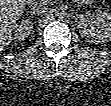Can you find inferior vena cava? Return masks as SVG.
I'll list each match as a JSON object with an SVG mask.
<instances>
[{
	"mask_svg": "<svg viewBox=\"0 0 111 106\" xmlns=\"http://www.w3.org/2000/svg\"><path fill=\"white\" fill-rule=\"evenodd\" d=\"M47 4V1H43V0H38L35 2L31 3V11L33 13H37V14H42L45 13L47 11V8L45 7V5Z\"/></svg>",
	"mask_w": 111,
	"mask_h": 106,
	"instance_id": "602c4592",
	"label": "inferior vena cava"
}]
</instances>
